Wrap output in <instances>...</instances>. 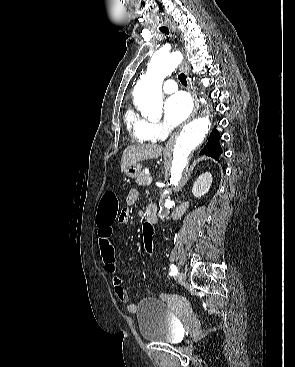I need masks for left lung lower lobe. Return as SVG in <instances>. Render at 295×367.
Segmentation results:
<instances>
[{"label":"left lung lower lobe","mask_w":295,"mask_h":367,"mask_svg":"<svg viewBox=\"0 0 295 367\" xmlns=\"http://www.w3.org/2000/svg\"><path fill=\"white\" fill-rule=\"evenodd\" d=\"M220 139V133L216 129H214L209 137L207 144L201 150L200 154L207 155L216 160H219V156L222 153V148L219 144Z\"/></svg>","instance_id":"1"}]
</instances>
